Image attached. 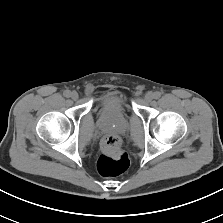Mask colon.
Instances as JSON below:
<instances>
[{
    "label": "colon",
    "mask_w": 223,
    "mask_h": 223,
    "mask_svg": "<svg viewBox=\"0 0 223 223\" xmlns=\"http://www.w3.org/2000/svg\"><path fill=\"white\" fill-rule=\"evenodd\" d=\"M130 165L128 155L120 148L116 135H108L103 140V152L97 161L98 172L103 177H115L124 173Z\"/></svg>",
    "instance_id": "1"
}]
</instances>
